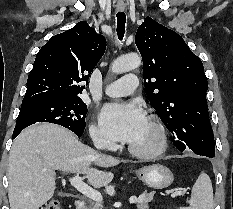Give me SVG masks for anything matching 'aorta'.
<instances>
[{
  "instance_id": "obj_1",
  "label": "aorta",
  "mask_w": 233,
  "mask_h": 209,
  "mask_svg": "<svg viewBox=\"0 0 233 209\" xmlns=\"http://www.w3.org/2000/svg\"><path fill=\"white\" fill-rule=\"evenodd\" d=\"M141 64V58L137 54H129L116 59L112 65L111 70L114 73H125L139 67Z\"/></svg>"
}]
</instances>
